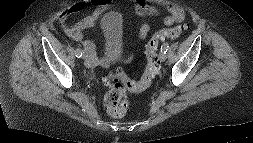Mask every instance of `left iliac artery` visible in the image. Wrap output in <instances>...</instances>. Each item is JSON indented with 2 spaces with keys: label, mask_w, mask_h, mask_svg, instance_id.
<instances>
[{
  "label": "left iliac artery",
  "mask_w": 253,
  "mask_h": 143,
  "mask_svg": "<svg viewBox=\"0 0 253 143\" xmlns=\"http://www.w3.org/2000/svg\"><path fill=\"white\" fill-rule=\"evenodd\" d=\"M168 48H169L168 43H164V44L161 46V52L166 53L167 50H168Z\"/></svg>",
  "instance_id": "44dca946"
}]
</instances>
